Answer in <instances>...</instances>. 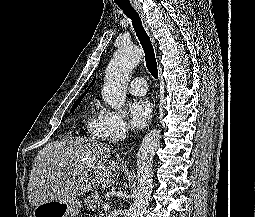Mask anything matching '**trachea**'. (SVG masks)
Segmentation results:
<instances>
[{
	"label": "trachea",
	"mask_w": 255,
	"mask_h": 217,
	"mask_svg": "<svg viewBox=\"0 0 255 217\" xmlns=\"http://www.w3.org/2000/svg\"><path fill=\"white\" fill-rule=\"evenodd\" d=\"M119 8L124 12V14L132 21L133 28L136 32V35L143 47L145 53L146 66L151 75L157 79L158 78V68L157 62L154 54V49L152 43L150 41V37L146 33L142 21L136 12V10L132 7L130 3L117 4Z\"/></svg>",
	"instance_id": "trachea-1"
}]
</instances>
